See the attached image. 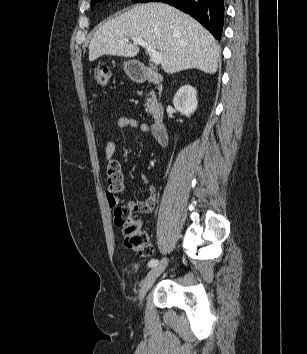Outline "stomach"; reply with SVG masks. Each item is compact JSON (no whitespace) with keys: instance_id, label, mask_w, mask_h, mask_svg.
Segmentation results:
<instances>
[{"instance_id":"0dacf381","label":"stomach","mask_w":307,"mask_h":354,"mask_svg":"<svg viewBox=\"0 0 307 354\" xmlns=\"http://www.w3.org/2000/svg\"><path fill=\"white\" fill-rule=\"evenodd\" d=\"M124 71L132 79H138L141 76V68L137 61L129 60L123 64Z\"/></svg>"}]
</instances>
